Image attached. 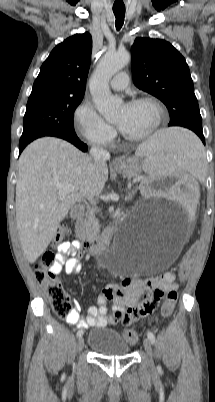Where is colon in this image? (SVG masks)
Listing matches in <instances>:
<instances>
[{
  "instance_id": "5ec220e1",
  "label": "colon",
  "mask_w": 215,
  "mask_h": 402,
  "mask_svg": "<svg viewBox=\"0 0 215 402\" xmlns=\"http://www.w3.org/2000/svg\"><path fill=\"white\" fill-rule=\"evenodd\" d=\"M65 236V229L59 228L54 239L53 244H58L63 237ZM198 248L196 243H191L186 246V258L188 260H197L199 258V253L195 251ZM55 264V254L52 250H46L40 256L36 267H35V277L38 282L42 285L47 295L50 298L51 307L54 313L60 317L66 316L70 311L69 297L66 292L63 290L60 282L58 281L56 274L51 270L52 266ZM182 275L187 273V264L186 262L183 264L181 268ZM168 277L172 275V273H165ZM164 295L160 293L158 296L159 300ZM177 298V292L175 289H169L166 292V300L163 307V314L167 315L173 308V305ZM155 304H151L145 307L146 312H152L158 301ZM123 338L128 343H136L138 341V333L133 329H126L122 332Z\"/></svg>"
}]
</instances>
